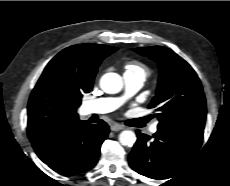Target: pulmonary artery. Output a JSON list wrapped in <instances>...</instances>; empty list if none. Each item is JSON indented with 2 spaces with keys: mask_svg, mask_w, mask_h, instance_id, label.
<instances>
[{
  "mask_svg": "<svg viewBox=\"0 0 230 186\" xmlns=\"http://www.w3.org/2000/svg\"><path fill=\"white\" fill-rule=\"evenodd\" d=\"M125 94L118 98H100L86 102L84 104V111L87 114H104L117 109L126 99L134 95L141 89L144 84L145 77L141 74L124 73ZM151 133L157 132V125L154 124L150 128Z\"/></svg>",
  "mask_w": 230,
  "mask_h": 186,
  "instance_id": "e3ab8cb5",
  "label": "pulmonary artery"
}]
</instances>
